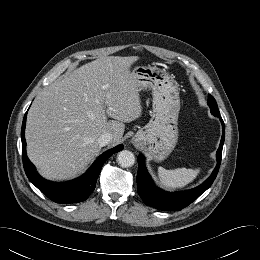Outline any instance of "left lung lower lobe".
Wrapping results in <instances>:
<instances>
[{"mask_svg": "<svg viewBox=\"0 0 260 260\" xmlns=\"http://www.w3.org/2000/svg\"><path fill=\"white\" fill-rule=\"evenodd\" d=\"M220 121L222 123L223 133L220 146L216 154L217 165L211 176L203 184L194 189L174 193L162 191L154 185L148 172L146 171L144 166V157L142 155L138 156V193L146 205L162 211H180L184 207L191 204L197 197L203 194L212 185L220 167L222 148L225 139V128L222 118H220Z\"/></svg>", "mask_w": 260, "mask_h": 260, "instance_id": "0a47b994", "label": "left lung lower lobe"}]
</instances>
